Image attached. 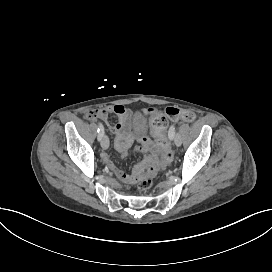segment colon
Here are the masks:
<instances>
[{
  "instance_id": "obj_1",
  "label": "colon",
  "mask_w": 272,
  "mask_h": 272,
  "mask_svg": "<svg viewBox=\"0 0 272 272\" xmlns=\"http://www.w3.org/2000/svg\"><path fill=\"white\" fill-rule=\"evenodd\" d=\"M107 113L106 109L89 111L85 118L87 120L96 119L97 115L104 116ZM197 114L193 110H183L180 112V108L176 106H168L161 109L157 106H150L145 111V118L148 122L152 123L153 139L160 148L162 153L161 163L155 165H148L145 169V174L141 176V181H137L138 186L142 192H149L151 190V184L153 180H158L166 170V165L170 163V158L173 155V138L171 137V130L168 128L169 120L175 122L179 119L192 122L196 119ZM169 118V119H168ZM119 178L125 177L122 172L118 173Z\"/></svg>"
}]
</instances>
